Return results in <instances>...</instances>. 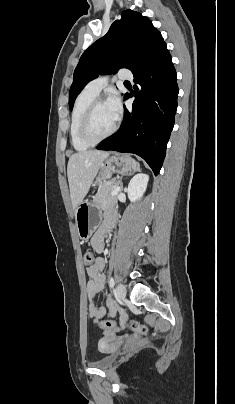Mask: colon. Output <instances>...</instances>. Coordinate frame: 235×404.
Returning <instances> with one entry per match:
<instances>
[{"instance_id":"colon-1","label":"colon","mask_w":235,"mask_h":404,"mask_svg":"<svg viewBox=\"0 0 235 404\" xmlns=\"http://www.w3.org/2000/svg\"><path fill=\"white\" fill-rule=\"evenodd\" d=\"M94 255L90 251H86L83 255V261L86 266H90L94 263ZM101 327H114L117 330H122L124 328H128L134 332L138 333H147L148 328L142 323L136 322V321H131L129 323H126L124 320H121L119 324H114L110 321H101L100 322Z\"/></svg>"}]
</instances>
